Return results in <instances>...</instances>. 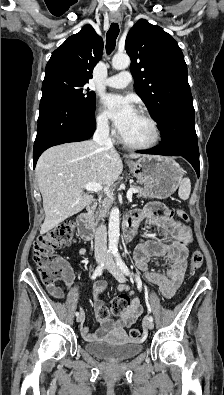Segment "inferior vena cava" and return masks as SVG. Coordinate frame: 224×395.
I'll return each instance as SVG.
<instances>
[{"label": "inferior vena cava", "mask_w": 224, "mask_h": 395, "mask_svg": "<svg viewBox=\"0 0 224 395\" xmlns=\"http://www.w3.org/2000/svg\"><path fill=\"white\" fill-rule=\"evenodd\" d=\"M93 141L105 149H112L113 143L109 136V125L107 119L97 124ZM107 250V231L104 224H100L95 231V253L105 254Z\"/></svg>", "instance_id": "inferior-vena-cava-1"}]
</instances>
